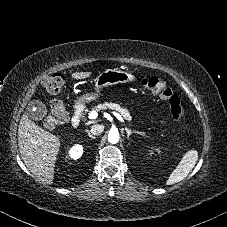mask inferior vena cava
Wrapping results in <instances>:
<instances>
[{
    "mask_svg": "<svg viewBox=\"0 0 227 227\" xmlns=\"http://www.w3.org/2000/svg\"><path fill=\"white\" fill-rule=\"evenodd\" d=\"M103 131H104V125H102V124L93 125V126L91 127V130H90V132H91L93 135H99V134H101Z\"/></svg>",
    "mask_w": 227,
    "mask_h": 227,
    "instance_id": "obj_1",
    "label": "inferior vena cava"
}]
</instances>
